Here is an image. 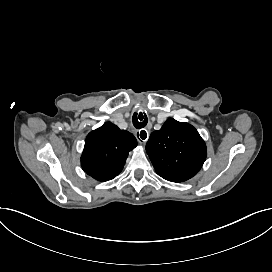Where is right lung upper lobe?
I'll return each instance as SVG.
<instances>
[{"label":"right lung upper lobe","instance_id":"cb5924a9","mask_svg":"<svg viewBox=\"0 0 272 272\" xmlns=\"http://www.w3.org/2000/svg\"><path fill=\"white\" fill-rule=\"evenodd\" d=\"M136 146L132 133L110 122L104 123L87 135L81 166L98 181L111 180L122 171L128 152Z\"/></svg>","mask_w":272,"mask_h":272}]
</instances>
